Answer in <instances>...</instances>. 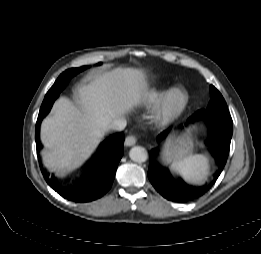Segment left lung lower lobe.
<instances>
[{
	"mask_svg": "<svg viewBox=\"0 0 261 254\" xmlns=\"http://www.w3.org/2000/svg\"><path fill=\"white\" fill-rule=\"evenodd\" d=\"M206 121L208 127V137L205 141V144L211 148V151L216 159L218 164V170L214 174V178L209 184H205L201 187L190 186L186 184L182 179H174L170 174L171 180L173 183L164 182L156 174L153 162H157V158L160 152V148L157 147L152 150L150 155V165L148 170V178L154 188L166 199L174 202H189L194 199L199 198L205 194L211 186L216 182L217 178L221 174L230 149V142L233 133V122L231 120H222L218 118H203ZM191 117L188 119V122H191ZM182 127V126H180ZM171 130L168 129L162 132L158 137V141H163Z\"/></svg>",
	"mask_w": 261,
	"mask_h": 254,
	"instance_id": "0a47b994",
	"label": "left lung lower lobe"
}]
</instances>
